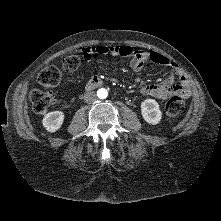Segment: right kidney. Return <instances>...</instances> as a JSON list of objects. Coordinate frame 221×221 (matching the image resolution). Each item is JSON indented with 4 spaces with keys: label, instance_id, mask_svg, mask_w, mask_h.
<instances>
[{
    "label": "right kidney",
    "instance_id": "obj_1",
    "mask_svg": "<svg viewBox=\"0 0 221 221\" xmlns=\"http://www.w3.org/2000/svg\"><path fill=\"white\" fill-rule=\"evenodd\" d=\"M64 113L61 111H53L47 113L43 120L42 124L48 132H56L63 124Z\"/></svg>",
    "mask_w": 221,
    "mask_h": 221
}]
</instances>
